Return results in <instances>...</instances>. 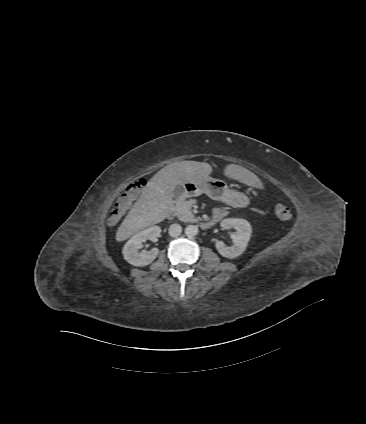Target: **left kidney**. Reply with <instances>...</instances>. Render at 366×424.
Here are the masks:
<instances>
[{
  "instance_id": "left-kidney-1",
  "label": "left kidney",
  "mask_w": 366,
  "mask_h": 424,
  "mask_svg": "<svg viewBox=\"0 0 366 424\" xmlns=\"http://www.w3.org/2000/svg\"><path fill=\"white\" fill-rule=\"evenodd\" d=\"M224 229L234 228L236 232L231 233L233 245L226 246L224 242L217 241L215 247L223 257L233 259L240 256L246 249L251 237L252 229L248 221L239 218H228L221 222Z\"/></svg>"
}]
</instances>
